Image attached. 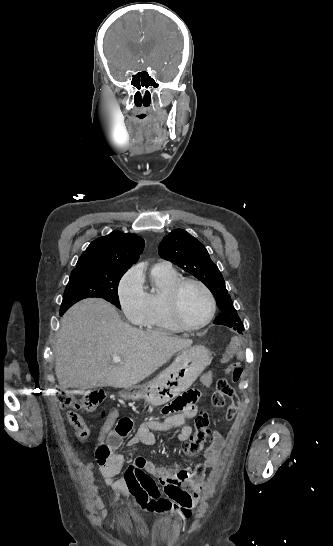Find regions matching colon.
<instances>
[{"mask_svg": "<svg viewBox=\"0 0 333 546\" xmlns=\"http://www.w3.org/2000/svg\"><path fill=\"white\" fill-rule=\"evenodd\" d=\"M229 344H235L238 349V343L230 342ZM242 360L236 359L232 365L228 366L226 372L228 375L232 376L231 383L233 385H240L242 379L244 378L245 368L242 366ZM230 400L231 403H237L238 398L235 393L234 388L225 378H221L217 381L216 391L212 394L211 403L215 408H223L226 404V400ZM104 400V393L102 391H92L83 395L80 399L70 397L66 394H61L59 396V403L64 409H75V410H86L93 411L95 410ZM196 400V394L193 391H188L182 396L178 397L171 404L174 408H182L186 406L194 407ZM67 420L69 424L75 429L76 434L81 436L86 435L88 428L82 418V416L76 411H69L67 413ZM195 432L192 435L190 442L186 445L184 451L188 456H194L198 454L205 445L210 440L209 432V418L208 414L204 410H200L195 418ZM115 431L119 434H126L129 431V426L118 422ZM111 453V444L102 441L97 443L95 449V458L98 460H103L107 458Z\"/></svg>", "mask_w": 333, "mask_h": 546, "instance_id": "obj_1", "label": "colon"}]
</instances>
